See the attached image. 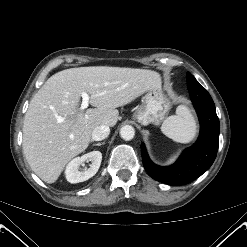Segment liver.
I'll return each instance as SVG.
<instances>
[{
    "mask_svg": "<svg viewBox=\"0 0 247 247\" xmlns=\"http://www.w3.org/2000/svg\"><path fill=\"white\" fill-rule=\"evenodd\" d=\"M160 83L152 70L107 66L70 68L52 75L30 101L23 124V152L32 171L54 183L65 165L91 142L95 127H114L126 105ZM88 93L93 107L79 108Z\"/></svg>",
    "mask_w": 247,
    "mask_h": 247,
    "instance_id": "6515ba94",
    "label": "liver"
}]
</instances>
